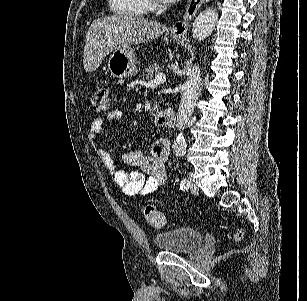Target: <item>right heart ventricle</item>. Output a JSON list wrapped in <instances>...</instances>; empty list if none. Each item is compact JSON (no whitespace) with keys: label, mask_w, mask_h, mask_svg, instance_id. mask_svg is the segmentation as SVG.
Masks as SVG:
<instances>
[{"label":"right heart ventricle","mask_w":307,"mask_h":301,"mask_svg":"<svg viewBox=\"0 0 307 301\" xmlns=\"http://www.w3.org/2000/svg\"><path fill=\"white\" fill-rule=\"evenodd\" d=\"M110 12L118 17H141L140 8L145 7L146 0H109Z\"/></svg>","instance_id":"1"}]
</instances>
